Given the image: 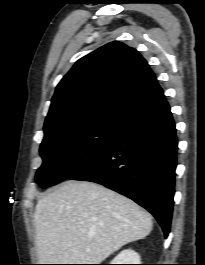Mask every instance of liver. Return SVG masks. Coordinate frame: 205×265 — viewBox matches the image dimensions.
<instances>
[{
	"mask_svg": "<svg viewBox=\"0 0 205 265\" xmlns=\"http://www.w3.org/2000/svg\"><path fill=\"white\" fill-rule=\"evenodd\" d=\"M34 222L41 264H100L153 226L151 215L129 198L77 181L38 200Z\"/></svg>",
	"mask_w": 205,
	"mask_h": 265,
	"instance_id": "6515ba94",
	"label": "liver"
}]
</instances>
